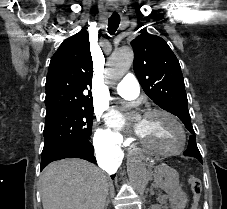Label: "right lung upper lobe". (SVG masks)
I'll use <instances>...</instances> for the list:
<instances>
[{
	"label": "right lung upper lobe",
	"mask_w": 227,
	"mask_h": 209,
	"mask_svg": "<svg viewBox=\"0 0 227 209\" xmlns=\"http://www.w3.org/2000/svg\"><path fill=\"white\" fill-rule=\"evenodd\" d=\"M93 62L89 36L85 28L62 42L52 56L47 80L45 104L59 98H92Z\"/></svg>",
	"instance_id": "1"
}]
</instances>
